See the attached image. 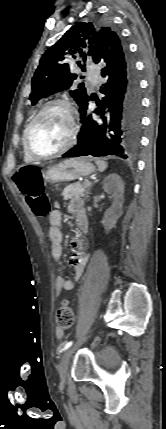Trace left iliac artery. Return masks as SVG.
<instances>
[{
    "mask_svg": "<svg viewBox=\"0 0 166 429\" xmlns=\"http://www.w3.org/2000/svg\"><path fill=\"white\" fill-rule=\"evenodd\" d=\"M73 344V341H69L64 345L63 351L67 350L69 347H71Z\"/></svg>",
    "mask_w": 166,
    "mask_h": 429,
    "instance_id": "1",
    "label": "left iliac artery"
}]
</instances>
